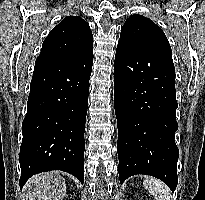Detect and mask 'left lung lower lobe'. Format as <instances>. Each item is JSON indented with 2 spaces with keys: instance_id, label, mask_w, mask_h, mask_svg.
Wrapping results in <instances>:
<instances>
[{
  "instance_id": "0a47b994",
  "label": "left lung lower lobe",
  "mask_w": 205,
  "mask_h": 200,
  "mask_svg": "<svg viewBox=\"0 0 205 200\" xmlns=\"http://www.w3.org/2000/svg\"><path fill=\"white\" fill-rule=\"evenodd\" d=\"M114 72L120 183L146 174L175 190L178 104L171 48L133 49L118 44Z\"/></svg>"
}]
</instances>
